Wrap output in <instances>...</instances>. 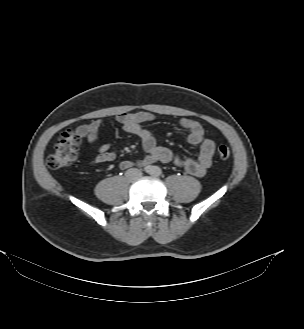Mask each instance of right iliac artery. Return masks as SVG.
I'll list each match as a JSON object with an SVG mask.
<instances>
[{"label": "right iliac artery", "instance_id": "right-iliac-artery-1", "mask_svg": "<svg viewBox=\"0 0 304 329\" xmlns=\"http://www.w3.org/2000/svg\"><path fill=\"white\" fill-rule=\"evenodd\" d=\"M145 171L147 173H151L152 172V167H150V166L145 167Z\"/></svg>", "mask_w": 304, "mask_h": 329}]
</instances>
